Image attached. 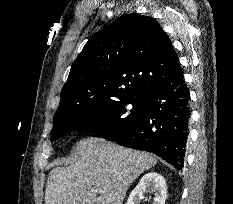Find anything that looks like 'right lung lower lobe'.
Returning <instances> with one entry per match:
<instances>
[{"label": "right lung lower lobe", "instance_id": "1", "mask_svg": "<svg viewBox=\"0 0 233 204\" xmlns=\"http://www.w3.org/2000/svg\"><path fill=\"white\" fill-rule=\"evenodd\" d=\"M189 101L190 94L178 63L148 93L144 113L137 122L108 140L152 152L181 170L189 136Z\"/></svg>", "mask_w": 233, "mask_h": 204}]
</instances>
